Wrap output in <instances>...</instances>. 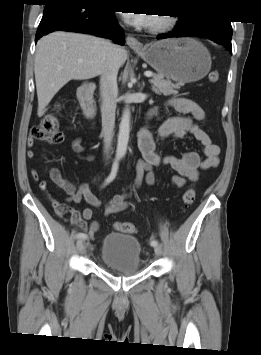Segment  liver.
Listing matches in <instances>:
<instances>
[{
  "label": "liver",
  "instance_id": "6515ba94",
  "mask_svg": "<svg viewBox=\"0 0 261 355\" xmlns=\"http://www.w3.org/2000/svg\"><path fill=\"white\" fill-rule=\"evenodd\" d=\"M108 43L91 35L62 31L53 32L38 41L34 73L39 117L44 115L54 95L69 81L101 75ZM118 49L121 66L127 59V51L119 46Z\"/></svg>",
  "mask_w": 261,
  "mask_h": 355
}]
</instances>
